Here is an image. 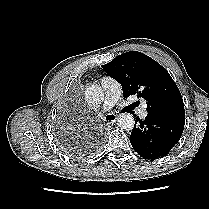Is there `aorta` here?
Returning a JSON list of instances; mask_svg holds the SVG:
<instances>
[{
    "label": "aorta",
    "instance_id": "762f6f07",
    "mask_svg": "<svg viewBox=\"0 0 209 209\" xmlns=\"http://www.w3.org/2000/svg\"><path fill=\"white\" fill-rule=\"evenodd\" d=\"M104 92L98 85H91L85 90V99L89 104H100L103 101ZM118 126L126 131L132 130L135 121L131 114L123 113L119 116L117 121Z\"/></svg>",
    "mask_w": 209,
    "mask_h": 209
}]
</instances>
